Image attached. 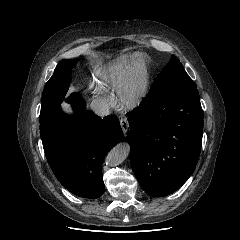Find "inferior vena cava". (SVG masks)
Here are the masks:
<instances>
[{
	"label": "inferior vena cava",
	"instance_id": "1",
	"mask_svg": "<svg viewBox=\"0 0 240 240\" xmlns=\"http://www.w3.org/2000/svg\"><path fill=\"white\" fill-rule=\"evenodd\" d=\"M90 106L91 109L100 117H104L110 112V105L104 99H94Z\"/></svg>",
	"mask_w": 240,
	"mask_h": 240
}]
</instances>
